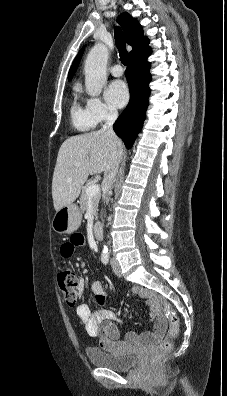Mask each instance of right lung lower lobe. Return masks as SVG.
<instances>
[{
  "instance_id": "right-lung-lower-lobe-1",
  "label": "right lung lower lobe",
  "mask_w": 227,
  "mask_h": 396,
  "mask_svg": "<svg viewBox=\"0 0 227 396\" xmlns=\"http://www.w3.org/2000/svg\"><path fill=\"white\" fill-rule=\"evenodd\" d=\"M150 54L151 48L148 45L136 52L130 57V64L125 71L130 101L113 128L128 149L132 147L146 117L151 80L150 63L147 62V58Z\"/></svg>"
}]
</instances>
